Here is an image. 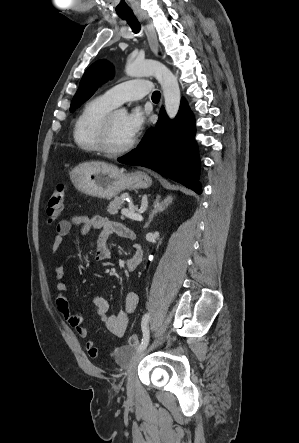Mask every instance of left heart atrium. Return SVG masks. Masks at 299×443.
<instances>
[{
	"label": "left heart atrium",
	"mask_w": 299,
	"mask_h": 443,
	"mask_svg": "<svg viewBox=\"0 0 299 443\" xmlns=\"http://www.w3.org/2000/svg\"><path fill=\"white\" fill-rule=\"evenodd\" d=\"M145 114L139 108L133 109L125 116L124 126L131 137H136L145 125Z\"/></svg>",
	"instance_id": "obj_1"
}]
</instances>
